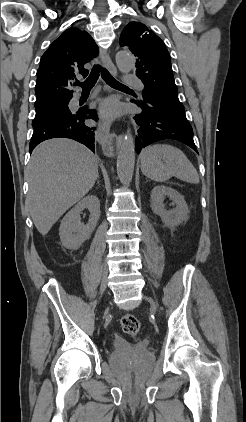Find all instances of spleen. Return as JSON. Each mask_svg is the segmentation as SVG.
Listing matches in <instances>:
<instances>
[{"instance_id":"1","label":"spleen","mask_w":246,"mask_h":422,"mask_svg":"<svg viewBox=\"0 0 246 422\" xmlns=\"http://www.w3.org/2000/svg\"><path fill=\"white\" fill-rule=\"evenodd\" d=\"M141 171L156 182H165L174 176L192 184L199 183L197 170L183 151L168 144L146 147L141 153Z\"/></svg>"}]
</instances>
